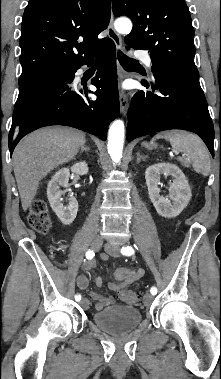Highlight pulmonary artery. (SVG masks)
<instances>
[{
  "instance_id": "e3ab8cb5",
  "label": "pulmonary artery",
  "mask_w": 221,
  "mask_h": 379,
  "mask_svg": "<svg viewBox=\"0 0 221 379\" xmlns=\"http://www.w3.org/2000/svg\"><path fill=\"white\" fill-rule=\"evenodd\" d=\"M135 57L142 60L148 67L152 66V59L148 53L144 51H137Z\"/></svg>"
}]
</instances>
